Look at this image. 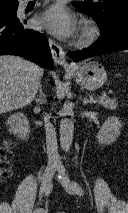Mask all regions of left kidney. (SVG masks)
Masks as SVG:
<instances>
[{
    "label": "left kidney",
    "instance_id": "left-kidney-1",
    "mask_svg": "<svg viewBox=\"0 0 128 213\" xmlns=\"http://www.w3.org/2000/svg\"><path fill=\"white\" fill-rule=\"evenodd\" d=\"M121 127L122 124L118 118H108L96 136L98 143L103 145H110L114 143L120 134Z\"/></svg>",
    "mask_w": 128,
    "mask_h": 213
}]
</instances>
